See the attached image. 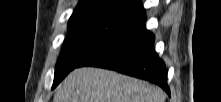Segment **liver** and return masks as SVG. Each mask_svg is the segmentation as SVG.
<instances>
[{"instance_id":"6515ba94","label":"liver","mask_w":221,"mask_h":102,"mask_svg":"<svg viewBox=\"0 0 221 102\" xmlns=\"http://www.w3.org/2000/svg\"><path fill=\"white\" fill-rule=\"evenodd\" d=\"M161 88L100 68L72 71L57 88L53 102H164Z\"/></svg>"}]
</instances>
